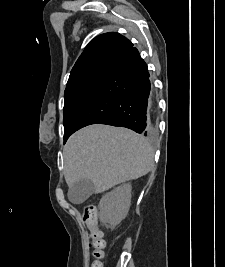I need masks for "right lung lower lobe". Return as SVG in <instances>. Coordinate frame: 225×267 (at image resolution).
Masks as SVG:
<instances>
[{
  "label": "right lung lower lobe",
  "mask_w": 225,
  "mask_h": 267,
  "mask_svg": "<svg viewBox=\"0 0 225 267\" xmlns=\"http://www.w3.org/2000/svg\"><path fill=\"white\" fill-rule=\"evenodd\" d=\"M137 48L120 54L79 111L72 133L91 124L126 127L150 134L151 83Z\"/></svg>",
  "instance_id": "1"
}]
</instances>
